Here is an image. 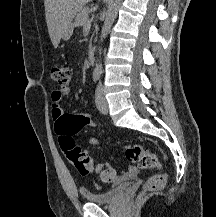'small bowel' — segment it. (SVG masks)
I'll list each match as a JSON object with an SVG mask.
<instances>
[{
    "mask_svg": "<svg viewBox=\"0 0 216 217\" xmlns=\"http://www.w3.org/2000/svg\"><path fill=\"white\" fill-rule=\"evenodd\" d=\"M71 92L70 88L64 87L58 90H54L51 93V117L55 122V127L57 128V125L61 121V119L64 117V111L61 106V101L63 97L68 95ZM88 143L91 145L98 146L99 141L95 137H91L88 139ZM137 172V169L135 167H130L128 170L123 173L122 175L116 177L111 184L116 185L122 182L123 180L130 179L135 173Z\"/></svg>",
    "mask_w": 216,
    "mask_h": 217,
    "instance_id": "small-bowel-1",
    "label": "small bowel"
}]
</instances>
